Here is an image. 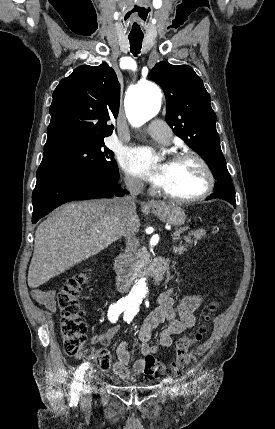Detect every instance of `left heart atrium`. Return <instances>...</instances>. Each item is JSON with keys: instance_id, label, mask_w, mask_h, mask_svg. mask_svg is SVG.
<instances>
[{"instance_id": "left-heart-atrium-1", "label": "left heart atrium", "mask_w": 275, "mask_h": 429, "mask_svg": "<svg viewBox=\"0 0 275 429\" xmlns=\"http://www.w3.org/2000/svg\"><path fill=\"white\" fill-rule=\"evenodd\" d=\"M120 161L129 172L150 181L155 186L163 187L168 163L157 164L150 149L144 147L127 149L122 152Z\"/></svg>"}]
</instances>
